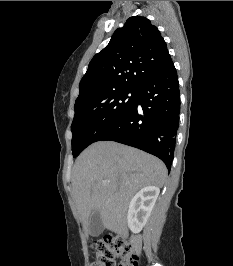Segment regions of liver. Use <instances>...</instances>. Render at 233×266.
<instances>
[{
  "instance_id": "1",
  "label": "liver",
  "mask_w": 233,
  "mask_h": 266,
  "mask_svg": "<svg viewBox=\"0 0 233 266\" xmlns=\"http://www.w3.org/2000/svg\"><path fill=\"white\" fill-rule=\"evenodd\" d=\"M166 176L164 163L148 153L114 141L93 143L72 172V196L83 227L89 233L90 216L97 211L104 228L127 238L130 199L143 187H162Z\"/></svg>"
}]
</instances>
